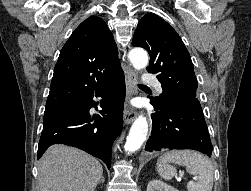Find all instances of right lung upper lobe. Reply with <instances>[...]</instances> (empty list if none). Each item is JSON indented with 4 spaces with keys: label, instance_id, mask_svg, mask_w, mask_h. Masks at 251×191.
<instances>
[{
    "label": "right lung upper lobe",
    "instance_id": "right-lung-upper-lobe-1",
    "mask_svg": "<svg viewBox=\"0 0 251 191\" xmlns=\"http://www.w3.org/2000/svg\"><path fill=\"white\" fill-rule=\"evenodd\" d=\"M122 74L112 33L101 18L91 16L60 52L45 110L68 107Z\"/></svg>",
    "mask_w": 251,
    "mask_h": 191
}]
</instances>
